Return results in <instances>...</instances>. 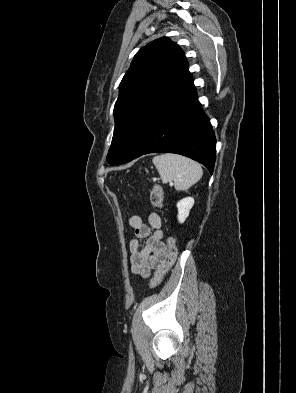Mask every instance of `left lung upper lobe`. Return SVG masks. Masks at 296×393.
<instances>
[{
    "instance_id": "5c2ea615",
    "label": "left lung upper lobe",
    "mask_w": 296,
    "mask_h": 393,
    "mask_svg": "<svg viewBox=\"0 0 296 393\" xmlns=\"http://www.w3.org/2000/svg\"><path fill=\"white\" fill-rule=\"evenodd\" d=\"M191 81L183 51L169 38L141 48L119 86L107 162L125 163L153 121Z\"/></svg>"
}]
</instances>
